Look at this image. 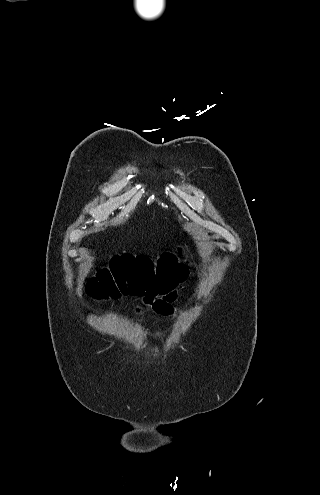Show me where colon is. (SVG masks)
<instances>
[{"label": "colon", "mask_w": 320, "mask_h": 495, "mask_svg": "<svg viewBox=\"0 0 320 495\" xmlns=\"http://www.w3.org/2000/svg\"><path fill=\"white\" fill-rule=\"evenodd\" d=\"M185 253L166 252L159 260L147 256L123 254L115 256L87 283V293L97 300L117 299L121 294L164 293L173 288L184 275L179 257Z\"/></svg>", "instance_id": "colon-1"}]
</instances>
